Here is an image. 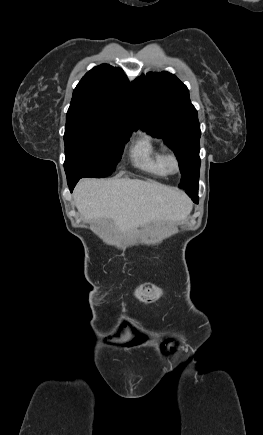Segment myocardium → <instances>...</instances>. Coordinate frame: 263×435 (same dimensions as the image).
<instances>
[{
	"instance_id": "1",
	"label": "myocardium",
	"mask_w": 263,
	"mask_h": 435,
	"mask_svg": "<svg viewBox=\"0 0 263 435\" xmlns=\"http://www.w3.org/2000/svg\"><path fill=\"white\" fill-rule=\"evenodd\" d=\"M164 164L168 173L171 174L179 172L181 167L179 156L175 152H168L165 154Z\"/></svg>"
}]
</instances>
